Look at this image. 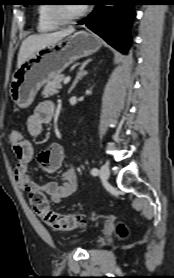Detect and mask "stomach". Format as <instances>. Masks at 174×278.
Here are the masks:
<instances>
[{
  "label": "stomach",
  "instance_id": "stomach-1",
  "mask_svg": "<svg viewBox=\"0 0 174 278\" xmlns=\"http://www.w3.org/2000/svg\"><path fill=\"white\" fill-rule=\"evenodd\" d=\"M102 46L93 34L79 31L37 50L14 72L12 101L21 108L31 105L39 89L76 60L92 55Z\"/></svg>",
  "mask_w": 174,
  "mask_h": 278
}]
</instances>
